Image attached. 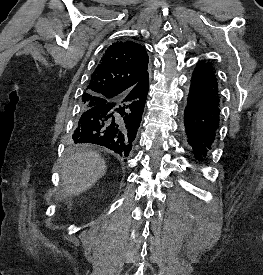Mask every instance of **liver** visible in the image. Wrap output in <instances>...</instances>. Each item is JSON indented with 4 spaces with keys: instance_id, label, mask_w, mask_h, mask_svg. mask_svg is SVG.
<instances>
[{
    "instance_id": "obj_1",
    "label": "liver",
    "mask_w": 263,
    "mask_h": 275,
    "mask_svg": "<svg viewBox=\"0 0 263 275\" xmlns=\"http://www.w3.org/2000/svg\"><path fill=\"white\" fill-rule=\"evenodd\" d=\"M106 173V163L94 151H81L67 159L61 171L63 196L79 195Z\"/></svg>"
}]
</instances>
